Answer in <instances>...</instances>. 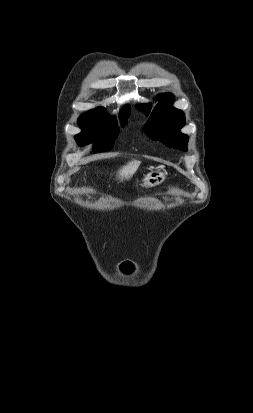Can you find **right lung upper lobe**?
Masks as SVG:
<instances>
[{
	"mask_svg": "<svg viewBox=\"0 0 253 413\" xmlns=\"http://www.w3.org/2000/svg\"><path fill=\"white\" fill-rule=\"evenodd\" d=\"M121 117L123 116H129L130 114V107L127 105L124 107V109L121 111ZM115 119L112 116H109L106 113V110L102 107H98L96 109L90 110L84 114H82L78 118V123L79 124H95V123H101L105 122L106 120H113Z\"/></svg>",
	"mask_w": 253,
	"mask_h": 413,
	"instance_id": "1",
	"label": "right lung upper lobe"
}]
</instances>
